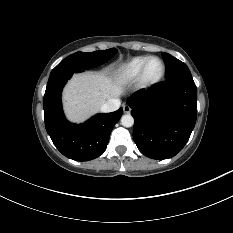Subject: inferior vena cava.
I'll use <instances>...</instances> for the list:
<instances>
[{
    "label": "inferior vena cava",
    "mask_w": 233,
    "mask_h": 233,
    "mask_svg": "<svg viewBox=\"0 0 233 233\" xmlns=\"http://www.w3.org/2000/svg\"><path fill=\"white\" fill-rule=\"evenodd\" d=\"M120 104L121 102L119 99L113 98V99L108 100L106 103H104L101 106L100 110L101 112H105V113L113 112V111H116L120 107Z\"/></svg>",
    "instance_id": "1"
}]
</instances>
